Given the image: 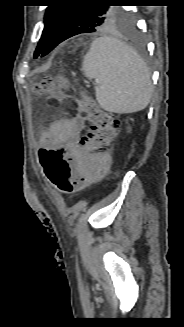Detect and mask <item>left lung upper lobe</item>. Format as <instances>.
I'll return each mask as SVG.
<instances>
[{
	"label": "left lung upper lobe",
	"instance_id": "obj_1",
	"mask_svg": "<svg viewBox=\"0 0 184 327\" xmlns=\"http://www.w3.org/2000/svg\"><path fill=\"white\" fill-rule=\"evenodd\" d=\"M70 4L48 6L44 17V29L34 53L37 58L48 44L59 20L64 26L77 34L95 32L109 25L130 27L132 20L129 12L122 8L107 5H87L84 1H68Z\"/></svg>",
	"mask_w": 184,
	"mask_h": 327
}]
</instances>
